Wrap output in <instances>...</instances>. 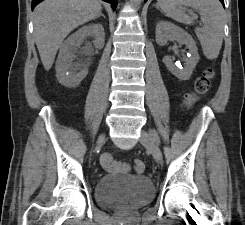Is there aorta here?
Here are the masks:
<instances>
[{
  "mask_svg": "<svg viewBox=\"0 0 245 225\" xmlns=\"http://www.w3.org/2000/svg\"><path fill=\"white\" fill-rule=\"evenodd\" d=\"M143 0H131L134 6H139Z\"/></svg>",
  "mask_w": 245,
  "mask_h": 225,
  "instance_id": "1",
  "label": "aorta"
}]
</instances>
